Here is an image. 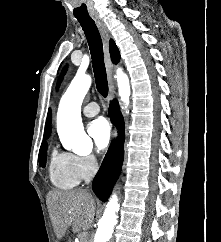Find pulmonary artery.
<instances>
[{"label": "pulmonary artery", "instance_id": "1", "mask_svg": "<svg viewBox=\"0 0 221 242\" xmlns=\"http://www.w3.org/2000/svg\"><path fill=\"white\" fill-rule=\"evenodd\" d=\"M99 111V106L95 102H91L83 108V114L87 117L96 116L99 113Z\"/></svg>", "mask_w": 221, "mask_h": 242}]
</instances>
